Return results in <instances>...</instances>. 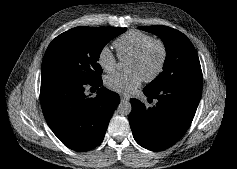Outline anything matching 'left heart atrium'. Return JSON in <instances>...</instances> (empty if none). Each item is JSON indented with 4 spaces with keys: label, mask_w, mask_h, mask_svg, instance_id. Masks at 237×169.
<instances>
[{
    "label": "left heart atrium",
    "mask_w": 237,
    "mask_h": 169,
    "mask_svg": "<svg viewBox=\"0 0 237 169\" xmlns=\"http://www.w3.org/2000/svg\"><path fill=\"white\" fill-rule=\"evenodd\" d=\"M143 78L136 71L115 73L105 80L106 86L115 92L132 93L142 82Z\"/></svg>",
    "instance_id": "1"
}]
</instances>
